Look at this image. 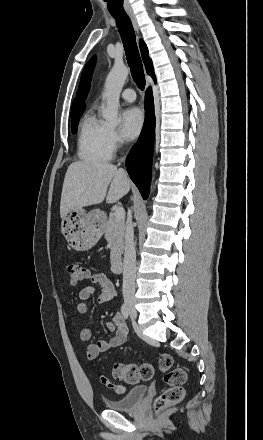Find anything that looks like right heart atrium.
Segmentation results:
<instances>
[{"mask_svg": "<svg viewBox=\"0 0 263 440\" xmlns=\"http://www.w3.org/2000/svg\"><path fill=\"white\" fill-rule=\"evenodd\" d=\"M108 140H109V144L113 150L117 149L122 143L120 135L113 128H109V130H108Z\"/></svg>", "mask_w": 263, "mask_h": 440, "instance_id": "right-heart-atrium-1", "label": "right heart atrium"}]
</instances>
